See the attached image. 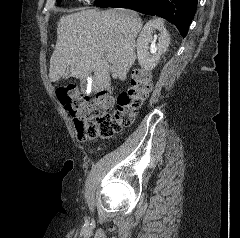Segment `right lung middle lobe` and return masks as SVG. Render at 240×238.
<instances>
[{"mask_svg":"<svg viewBox=\"0 0 240 238\" xmlns=\"http://www.w3.org/2000/svg\"><path fill=\"white\" fill-rule=\"evenodd\" d=\"M61 0H57V3L60 4Z\"/></svg>","mask_w":240,"mask_h":238,"instance_id":"obj_1","label":"right lung middle lobe"}]
</instances>
